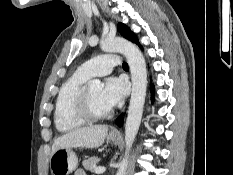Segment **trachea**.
Listing matches in <instances>:
<instances>
[{
  "label": "trachea",
  "instance_id": "obj_1",
  "mask_svg": "<svg viewBox=\"0 0 233 175\" xmlns=\"http://www.w3.org/2000/svg\"><path fill=\"white\" fill-rule=\"evenodd\" d=\"M122 66H123L124 69H128V64H127L126 62H124V63L122 64Z\"/></svg>",
  "mask_w": 233,
  "mask_h": 175
}]
</instances>
